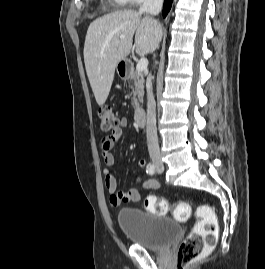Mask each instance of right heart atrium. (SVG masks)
Returning <instances> with one entry per match:
<instances>
[{
    "instance_id": "right-heart-atrium-1",
    "label": "right heart atrium",
    "mask_w": 265,
    "mask_h": 269,
    "mask_svg": "<svg viewBox=\"0 0 265 269\" xmlns=\"http://www.w3.org/2000/svg\"><path fill=\"white\" fill-rule=\"evenodd\" d=\"M126 3L130 4V5H140L142 4L143 2L145 1H148V0H125Z\"/></svg>"
}]
</instances>
